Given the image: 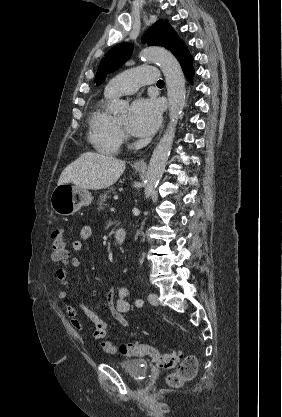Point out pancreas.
<instances>
[{
    "label": "pancreas",
    "instance_id": "pancreas-1",
    "mask_svg": "<svg viewBox=\"0 0 282 417\" xmlns=\"http://www.w3.org/2000/svg\"><path fill=\"white\" fill-rule=\"evenodd\" d=\"M114 190H115L114 186H109L108 190H105L104 194H101L98 204H105V200L109 198L107 194H110V192H114Z\"/></svg>",
    "mask_w": 282,
    "mask_h": 417
}]
</instances>
